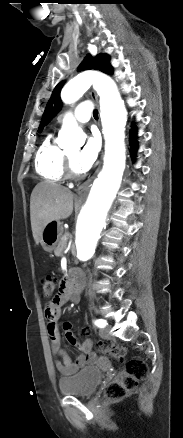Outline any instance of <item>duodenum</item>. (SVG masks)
Returning <instances> with one entry per match:
<instances>
[{"label": "duodenum", "instance_id": "410a0bca", "mask_svg": "<svg viewBox=\"0 0 183 438\" xmlns=\"http://www.w3.org/2000/svg\"><path fill=\"white\" fill-rule=\"evenodd\" d=\"M70 287L71 291L78 295L80 293V290L82 289V282L77 277H72L70 279Z\"/></svg>", "mask_w": 183, "mask_h": 438}]
</instances>
